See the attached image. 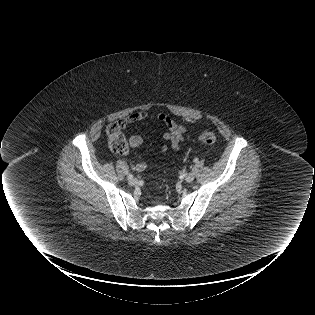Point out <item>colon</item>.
I'll return each mask as SVG.
<instances>
[{
	"mask_svg": "<svg viewBox=\"0 0 315 315\" xmlns=\"http://www.w3.org/2000/svg\"><path fill=\"white\" fill-rule=\"evenodd\" d=\"M123 126L120 122L108 125L106 133L108 136V144L112 152L124 155L128 152L129 146L127 139L122 131ZM199 140L205 144H214L217 136L213 131H208L199 136Z\"/></svg>",
	"mask_w": 315,
	"mask_h": 315,
	"instance_id": "obj_1",
	"label": "colon"
}]
</instances>
